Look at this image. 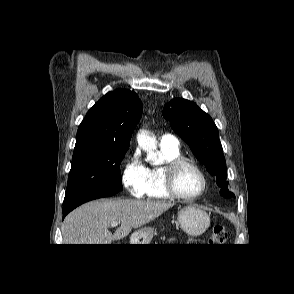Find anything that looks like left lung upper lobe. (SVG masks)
I'll list each match as a JSON object with an SVG mask.
<instances>
[{
	"instance_id": "left-lung-upper-lobe-1",
	"label": "left lung upper lobe",
	"mask_w": 294,
	"mask_h": 294,
	"mask_svg": "<svg viewBox=\"0 0 294 294\" xmlns=\"http://www.w3.org/2000/svg\"><path fill=\"white\" fill-rule=\"evenodd\" d=\"M163 117L173 130L189 145L207 171L215 176L220 194L235 197L228 189L226 162L218 129L212 118L194 102L175 98L164 106Z\"/></svg>"
}]
</instances>
